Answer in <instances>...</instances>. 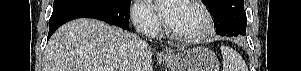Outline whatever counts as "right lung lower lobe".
Returning <instances> with one entry per match:
<instances>
[{
  "label": "right lung lower lobe",
  "mask_w": 301,
  "mask_h": 71,
  "mask_svg": "<svg viewBox=\"0 0 301 71\" xmlns=\"http://www.w3.org/2000/svg\"><path fill=\"white\" fill-rule=\"evenodd\" d=\"M129 7L130 5L126 8H119L97 3L74 2L53 8L48 39L61 25L77 18H94L126 30L129 27Z\"/></svg>",
  "instance_id": "obj_1"
}]
</instances>
